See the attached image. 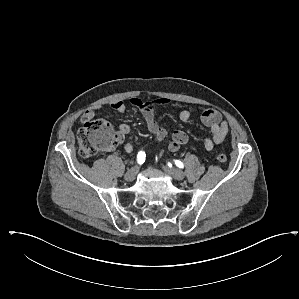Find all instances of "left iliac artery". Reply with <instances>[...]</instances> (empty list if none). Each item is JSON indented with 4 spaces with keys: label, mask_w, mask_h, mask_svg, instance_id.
Masks as SVG:
<instances>
[{
    "label": "left iliac artery",
    "mask_w": 299,
    "mask_h": 299,
    "mask_svg": "<svg viewBox=\"0 0 299 299\" xmlns=\"http://www.w3.org/2000/svg\"><path fill=\"white\" fill-rule=\"evenodd\" d=\"M174 163L177 167L179 168H184V165L183 163L180 161V160H174Z\"/></svg>",
    "instance_id": "1"
}]
</instances>
